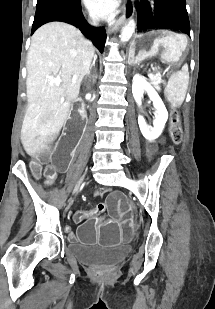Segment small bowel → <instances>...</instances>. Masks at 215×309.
<instances>
[{
	"instance_id": "1",
	"label": "small bowel",
	"mask_w": 215,
	"mask_h": 309,
	"mask_svg": "<svg viewBox=\"0 0 215 309\" xmlns=\"http://www.w3.org/2000/svg\"><path fill=\"white\" fill-rule=\"evenodd\" d=\"M96 215H98L97 213H96V211L94 210V211H89V217H94V216H96ZM88 217V218H89Z\"/></svg>"
}]
</instances>
